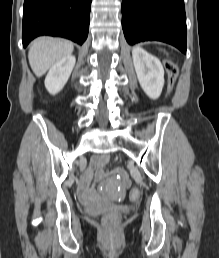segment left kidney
<instances>
[{
  "mask_svg": "<svg viewBox=\"0 0 219 258\" xmlns=\"http://www.w3.org/2000/svg\"><path fill=\"white\" fill-rule=\"evenodd\" d=\"M132 58L142 89L151 99H157L164 86V69L161 62L140 47L133 48Z\"/></svg>",
  "mask_w": 219,
  "mask_h": 258,
  "instance_id": "left-kidney-1",
  "label": "left kidney"
}]
</instances>
